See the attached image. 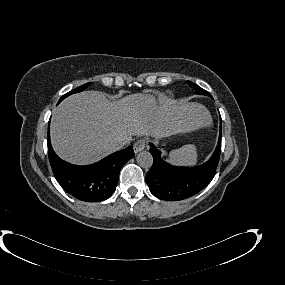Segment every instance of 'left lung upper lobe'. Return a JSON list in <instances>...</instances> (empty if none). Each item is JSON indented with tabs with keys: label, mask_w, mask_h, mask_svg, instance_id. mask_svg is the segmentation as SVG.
<instances>
[{
	"label": "left lung upper lobe",
	"mask_w": 285,
	"mask_h": 285,
	"mask_svg": "<svg viewBox=\"0 0 285 285\" xmlns=\"http://www.w3.org/2000/svg\"><path fill=\"white\" fill-rule=\"evenodd\" d=\"M188 84L190 85V87H192V88L195 89L196 94L207 95V96H210V97H211V95H210L209 92H207L206 90L200 88L198 85H196V84H194V83H192V82H190V81H188Z\"/></svg>",
	"instance_id": "5c2ea615"
}]
</instances>
